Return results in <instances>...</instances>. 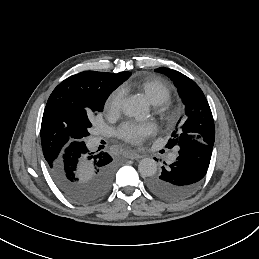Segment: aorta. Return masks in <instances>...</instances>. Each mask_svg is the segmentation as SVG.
Wrapping results in <instances>:
<instances>
[{
    "instance_id": "1",
    "label": "aorta",
    "mask_w": 259,
    "mask_h": 259,
    "mask_svg": "<svg viewBox=\"0 0 259 259\" xmlns=\"http://www.w3.org/2000/svg\"><path fill=\"white\" fill-rule=\"evenodd\" d=\"M122 111L129 117H142L147 113L145 103L137 97L126 99L122 105ZM138 170L143 177H151L157 172V162L152 158H144L139 162Z\"/></svg>"
}]
</instances>
